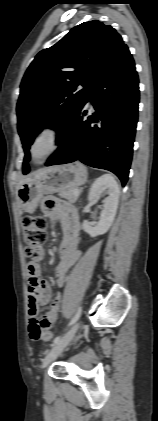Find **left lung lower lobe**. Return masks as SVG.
<instances>
[{
	"mask_svg": "<svg viewBox=\"0 0 158 421\" xmlns=\"http://www.w3.org/2000/svg\"><path fill=\"white\" fill-rule=\"evenodd\" d=\"M134 60L123 45L89 87L71 122L57 139L59 148L46 166L80 160L128 180L138 119L139 86ZM95 112L87 120L85 104Z\"/></svg>",
	"mask_w": 158,
	"mask_h": 421,
	"instance_id": "0a47b994",
	"label": "left lung lower lobe"
}]
</instances>
